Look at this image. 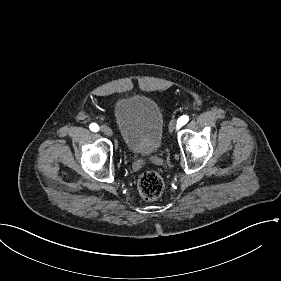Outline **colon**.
<instances>
[{"label":"colon","instance_id":"colon-1","mask_svg":"<svg viewBox=\"0 0 281 281\" xmlns=\"http://www.w3.org/2000/svg\"><path fill=\"white\" fill-rule=\"evenodd\" d=\"M164 181L156 171L143 173L138 180L137 187L141 194L149 200L159 197L164 190Z\"/></svg>","mask_w":281,"mask_h":281}]
</instances>
